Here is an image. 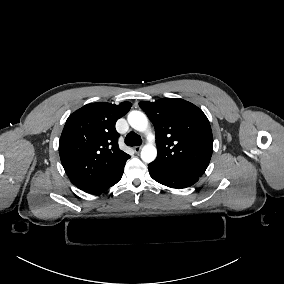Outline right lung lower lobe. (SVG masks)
Instances as JSON below:
<instances>
[{
    "label": "right lung lower lobe",
    "mask_w": 284,
    "mask_h": 284,
    "mask_svg": "<svg viewBox=\"0 0 284 284\" xmlns=\"http://www.w3.org/2000/svg\"><path fill=\"white\" fill-rule=\"evenodd\" d=\"M124 166L119 171H117L113 176H111V178L108 179L105 183H103L102 185H100L99 187H97L96 189L91 191L90 193L91 194L101 193V192L107 190L109 187L116 184L122 177V174L124 172Z\"/></svg>",
    "instance_id": "obj_1"
}]
</instances>
